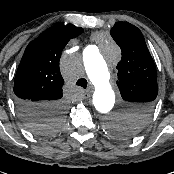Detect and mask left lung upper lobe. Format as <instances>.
Here are the masks:
<instances>
[{
  "mask_svg": "<svg viewBox=\"0 0 174 174\" xmlns=\"http://www.w3.org/2000/svg\"><path fill=\"white\" fill-rule=\"evenodd\" d=\"M110 34L121 48L117 85L122 98L129 102L130 109V115L112 124L110 130L117 137L128 138L148 123L155 108L158 93L156 66L136 26L120 21Z\"/></svg>",
  "mask_w": 174,
  "mask_h": 174,
  "instance_id": "5c2ea615",
  "label": "left lung upper lobe"
}]
</instances>
